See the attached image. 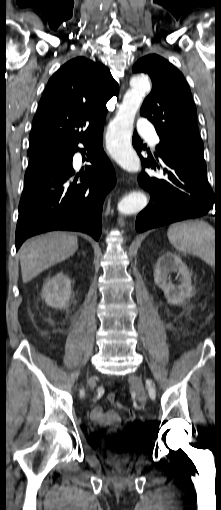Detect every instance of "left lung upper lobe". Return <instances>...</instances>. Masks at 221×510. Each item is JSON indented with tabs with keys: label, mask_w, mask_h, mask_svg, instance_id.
Instances as JSON below:
<instances>
[{
	"label": "left lung upper lobe",
	"mask_w": 221,
	"mask_h": 510,
	"mask_svg": "<svg viewBox=\"0 0 221 510\" xmlns=\"http://www.w3.org/2000/svg\"><path fill=\"white\" fill-rule=\"evenodd\" d=\"M132 71L147 73L152 80V91L145 98L140 114L154 124L160 137L157 154L206 170L196 107L182 73L156 54L138 60Z\"/></svg>",
	"instance_id": "5c2ea615"
}]
</instances>
